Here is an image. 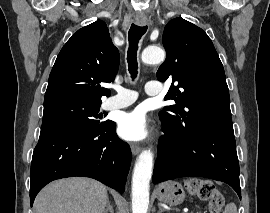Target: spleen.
<instances>
[{"mask_svg": "<svg viewBox=\"0 0 270 213\" xmlns=\"http://www.w3.org/2000/svg\"><path fill=\"white\" fill-rule=\"evenodd\" d=\"M223 213H237V207L234 203H230L225 207Z\"/></svg>", "mask_w": 270, "mask_h": 213, "instance_id": "3e777b00", "label": "spleen"}]
</instances>
